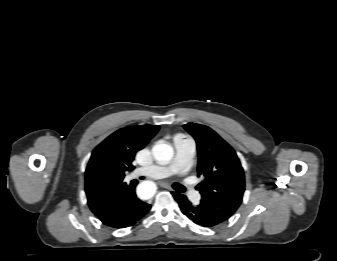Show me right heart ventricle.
Returning <instances> with one entry per match:
<instances>
[{
  "label": "right heart ventricle",
  "instance_id": "right-heart-ventricle-1",
  "mask_svg": "<svg viewBox=\"0 0 337 261\" xmlns=\"http://www.w3.org/2000/svg\"><path fill=\"white\" fill-rule=\"evenodd\" d=\"M184 139L185 138L182 135H176L175 138H174L175 141H177V140H184Z\"/></svg>",
  "mask_w": 337,
  "mask_h": 261
}]
</instances>
